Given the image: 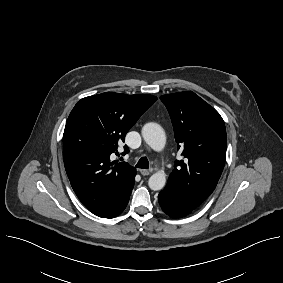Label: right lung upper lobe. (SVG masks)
I'll list each match as a JSON object with an SVG mask.
<instances>
[{
	"label": "right lung upper lobe",
	"instance_id": "right-lung-upper-lobe-1",
	"mask_svg": "<svg viewBox=\"0 0 283 283\" xmlns=\"http://www.w3.org/2000/svg\"><path fill=\"white\" fill-rule=\"evenodd\" d=\"M156 100L106 92L81 99L71 111L63 134L65 170L77 197L93 214H111L130 195L136 169L111 161L110 155Z\"/></svg>",
	"mask_w": 283,
	"mask_h": 283
}]
</instances>
